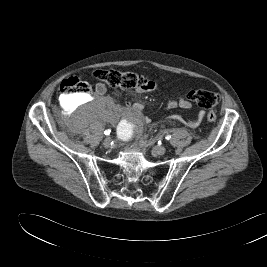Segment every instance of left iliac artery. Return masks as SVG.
<instances>
[{
    "label": "left iliac artery",
    "instance_id": "left-iliac-artery-1",
    "mask_svg": "<svg viewBox=\"0 0 267 267\" xmlns=\"http://www.w3.org/2000/svg\"><path fill=\"white\" fill-rule=\"evenodd\" d=\"M165 139H166V140H170V139H171V135H166V136H165Z\"/></svg>",
    "mask_w": 267,
    "mask_h": 267
}]
</instances>
